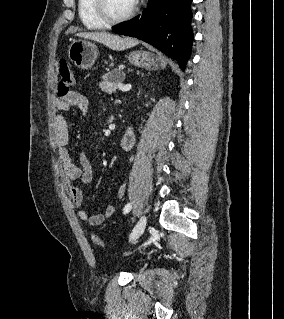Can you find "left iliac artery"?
Instances as JSON below:
<instances>
[{"instance_id":"44dca946","label":"left iliac artery","mask_w":284,"mask_h":319,"mask_svg":"<svg viewBox=\"0 0 284 319\" xmlns=\"http://www.w3.org/2000/svg\"><path fill=\"white\" fill-rule=\"evenodd\" d=\"M132 208V204L128 203L127 205H125V207L123 208V213L127 214Z\"/></svg>"}]
</instances>
